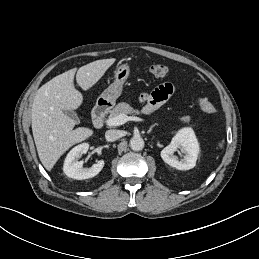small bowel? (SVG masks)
<instances>
[{
  "mask_svg": "<svg viewBox=\"0 0 259 259\" xmlns=\"http://www.w3.org/2000/svg\"><path fill=\"white\" fill-rule=\"evenodd\" d=\"M174 92L171 83H164L158 86L152 93L140 96V101L145 104V111L151 112L162 105Z\"/></svg>",
  "mask_w": 259,
  "mask_h": 259,
  "instance_id": "1",
  "label": "small bowel"
}]
</instances>
